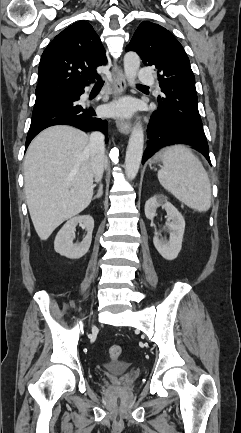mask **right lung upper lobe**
I'll return each instance as SVG.
<instances>
[{"label": "right lung upper lobe", "mask_w": 241, "mask_h": 433, "mask_svg": "<svg viewBox=\"0 0 241 433\" xmlns=\"http://www.w3.org/2000/svg\"><path fill=\"white\" fill-rule=\"evenodd\" d=\"M105 62V50L93 27L86 21L76 22L44 50L36 96L84 88L99 78L96 68Z\"/></svg>", "instance_id": "right-lung-upper-lobe-1"}]
</instances>
